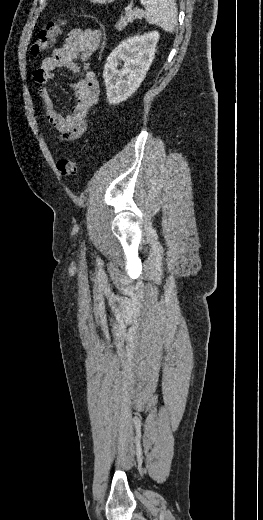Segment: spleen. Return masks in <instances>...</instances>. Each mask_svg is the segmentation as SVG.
<instances>
[{
	"mask_svg": "<svg viewBox=\"0 0 263 520\" xmlns=\"http://www.w3.org/2000/svg\"><path fill=\"white\" fill-rule=\"evenodd\" d=\"M145 7V18L149 24H155L168 33H173L177 24V6L175 0H140Z\"/></svg>",
	"mask_w": 263,
	"mask_h": 520,
	"instance_id": "3e777b00",
	"label": "spleen"
}]
</instances>
